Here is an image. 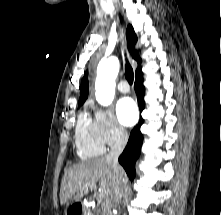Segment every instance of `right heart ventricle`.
Instances as JSON below:
<instances>
[{
    "label": "right heart ventricle",
    "mask_w": 221,
    "mask_h": 215,
    "mask_svg": "<svg viewBox=\"0 0 221 215\" xmlns=\"http://www.w3.org/2000/svg\"><path fill=\"white\" fill-rule=\"evenodd\" d=\"M75 145L81 159L97 157L104 152V145L97 137L93 120L86 114H81L78 118Z\"/></svg>",
    "instance_id": "1"
}]
</instances>
